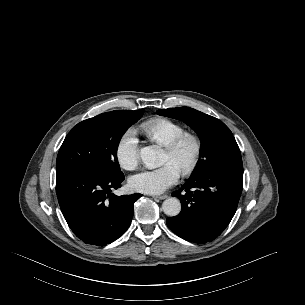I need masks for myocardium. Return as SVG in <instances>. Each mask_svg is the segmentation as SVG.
I'll return each instance as SVG.
<instances>
[{
	"instance_id": "myocardium-1",
	"label": "myocardium",
	"mask_w": 305,
	"mask_h": 305,
	"mask_svg": "<svg viewBox=\"0 0 305 305\" xmlns=\"http://www.w3.org/2000/svg\"><path fill=\"white\" fill-rule=\"evenodd\" d=\"M187 142L192 144L194 155L192 161L181 171L184 175L194 172L201 162L203 149L200 138L193 133L185 132L165 145V150L176 153Z\"/></svg>"
}]
</instances>
